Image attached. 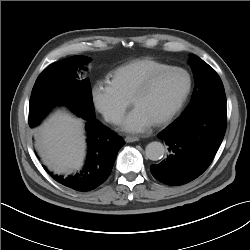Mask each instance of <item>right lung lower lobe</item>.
I'll return each mask as SVG.
<instances>
[{
	"label": "right lung lower lobe",
	"mask_w": 250,
	"mask_h": 250,
	"mask_svg": "<svg viewBox=\"0 0 250 250\" xmlns=\"http://www.w3.org/2000/svg\"><path fill=\"white\" fill-rule=\"evenodd\" d=\"M87 121L88 155L84 168L80 173L64 177L46 172L58 183L80 192L97 188L110 175L116 156L125 144L123 139L95 117L85 118Z\"/></svg>",
	"instance_id": "1"
}]
</instances>
